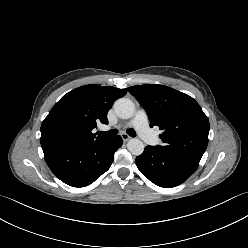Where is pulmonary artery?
I'll return each mask as SVG.
<instances>
[{
	"instance_id": "e3ab8cb5",
	"label": "pulmonary artery",
	"mask_w": 248,
	"mask_h": 248,
	"mask_svg": "<svg viewBox=\"0 0 248 248\" xmlns=\"http://www.w3.org/2000/svg\"><path fill=\"white\" fill-rule=\"evenodd\" d=\"M125 127H133L139 136L148 144H155L157 137L148 125V116L144 110H138L134 117L127 122Z\"/></svg>"
}]
</instances>
